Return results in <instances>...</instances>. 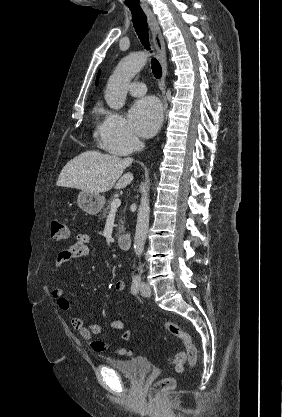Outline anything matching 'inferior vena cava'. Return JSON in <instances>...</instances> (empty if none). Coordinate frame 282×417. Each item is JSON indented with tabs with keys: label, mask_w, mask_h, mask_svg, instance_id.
I'll list each match as a JSON object with an SVG mask.
<instances>
[{
	"label": "inferior vena cava",
	"mask_w": 282,
	"mask_h": 417,
	"mask_svg": "<svg viewBox=\"0 0 282 417\" xmlns=\"http://www.w3.org/2000/svg\"><path fill=\"white\" fill-rule=\"evenodd\" d=\"M145 144L144 142H141V140H136L135 148L136 150H141V148H144ZM129 160H133V158H129ZM139 273H143L142 265H140L138 269Z\"/></svg>",
	"instance_id": "obj_1"
}]
</instances>
